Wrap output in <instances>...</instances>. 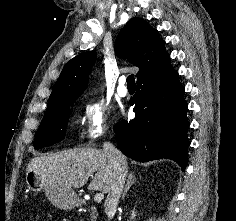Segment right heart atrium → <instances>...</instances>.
I'll list each match as a JSON object with an SVG mask.
<instances>
[{
	"label": "right heart atrium",
	"instance_id": "1",
	"mask_svg": "<svg viewBox=\"0 0 236 221\" xmlns=\"http://www.w3.org/2000/svg\"><path fill=\"white\" fill-rule=\"evenodd\" d=\"M111 109L100 99H90L84 105V137L95 141L111 128Z\"/></svg>",
	"mask_w": 236,
	"mask_h": 221
}]
</instances>
